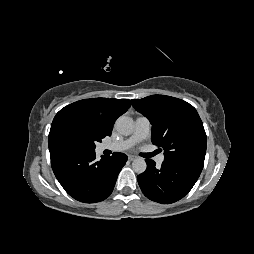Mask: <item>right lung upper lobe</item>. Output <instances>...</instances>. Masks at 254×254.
<instances>
[{
    "label": "right lung upper lobe",
    "mask_w": 254,
    "mask_h": 254,
    "mask_svg": "<svg viewBox=\"0 0 254 254\" xmlns=\"http://www.w3.org/2000/svg\"><path fill=\"white\" fill-rule=\"evenodd\" d=\"M131 106L128 99L92 98L74 102L62 108L54 117L49 137V150L66 147L61 134L71 122L95 127L102 135L110 136L115 120Z\"/></svg>",
    "instance_id": "obj_1"
}]
</instances>
